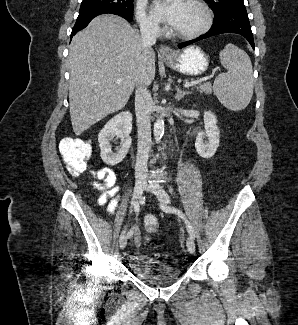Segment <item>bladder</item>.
Instances as JSON below:
<instances>
[{"mask_svg":"<svg viewBox=\"0 0 298 325\" xmlns=\"http://www.w3.org/2000/svg\"><path fill=\"white\" fill-rule=\"evenodd\" d=\"M130 267L135 277L155 286L173 283L181 276L177 267L154 261L145 255H134Z\"/></svg>","mask_w":298,"mask_h":325,"instance_id":"31cf9c89","label":"bladder"}]
</instances>
